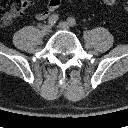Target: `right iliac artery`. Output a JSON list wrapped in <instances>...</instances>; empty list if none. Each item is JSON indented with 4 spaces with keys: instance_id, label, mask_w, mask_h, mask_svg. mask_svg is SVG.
I'll return each mask as SVG.
<instances>
[{
    "instance_id": "obj_1",
    "label": "right iliac artery",
    "mask_w": 128,
    "mask_h": 128,
    "mask_svg": "<svg viewBox=\"0 0 128 128\" xmlns=\"http://www.w3.org/2000/svg\"><path fill=\"white\" fill-rule=\"evenodd\" d=\"M59 17L57 14H53L49 17L48 19V24L53 26L57 21H58Z\"/></svg>"
}]
</instances>
